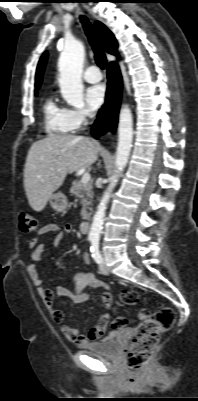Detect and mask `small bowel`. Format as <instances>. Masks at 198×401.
Returning a JSON list of instances; mask_svg holds the SVG:
<instances>
[{"label":"small bowel","instance_id":"small-bowel-1","mask_svg":"<svg viewBox=\"0 0 198 401\" xmlns=\"http://www.w3.org/2000/svg\"><path fill=\"white\" fill-rule=\"evenodd\" d=\"M72 226L65 225L59 226L54 223L46 224L42 226L35 237H33L29 243L31 258L33 261H40L42 258L43 245L40 240L47 234L54 233L55 245H61L66 237L71 233ZM83 261L87 264L90 263V256L88 253H83ZM26 272L31 279L32 284L37 288L39 295L42 297L45 304L49 307L53 320L57 323H62L64 320L63 312L54 307V297L67 298L74 303H83L87 301L90 294L85 291L87 287L96 288L104 287L109 289V286L102 280L97 278L93 273L80 271L73 275L71 281L74 284V289L71 291L65 284L58 285L55 293L42 286V279L38 274L37 268L34 264H30L26 268ZM101 302L103 306L108 309L111 307L113 298L110 292L106 291L101 294ZM109 320L108 313L103 314L96 325L90 328L87 334H82L75 327L63 326V335L71 342L77 345H85L89 341H94L101 338L105 332L107 323Z\"/></svg>","mask_w":198,"mask_h":401}]
</instances>
